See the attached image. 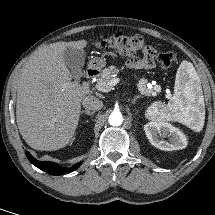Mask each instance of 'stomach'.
<instances>
[{
	"label": "stomach",
	"instance_id": "obj_1",
	"mask_svg": "<svg viewBox=\"0 0 215 215\" xmlns=\"http://www.w3.org/2000/svg\"><path fill=\"white\" fill-rule=\"evenodd\" d=\"M106 65V62L103 58L95 57L90 61V66L94 69H101Z\"/></svg>",
	"mask_w": 215,
	"mask_h": 215
}]
</instances>
